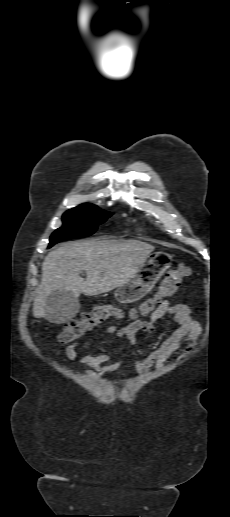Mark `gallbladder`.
Returning a JSON list of instances; mask_svg holds the SVG:
<instances>
[{
	"label": "gallbladder",
	"instance_id": "obj_1",
	"mask_svg": "<svg viewBox=\"0 0 230 517\" xmlns=\"http://www.w3.org/2000/svg\"><path fill=\"white\" fill-rule=\"evenodd\" d=\"M46 319L53 323L71 320L79 311L78 299L66 290L53 292L45 302Z\"/></svg>",
	"mask_w": 230,
	"mask_h": 517
}]
</instances>
